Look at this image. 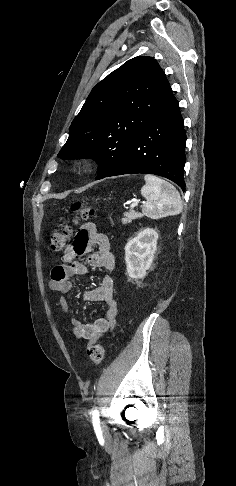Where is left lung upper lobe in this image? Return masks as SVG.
Segmentation results:
<instances>
[{
  "instance_id": "left-lung-upper-lobe-1",
  "label": "left lung upper lobe",
  "mask_w": 236,
  "mask_h": 486,
  "mask_svg": "<svg viewBox=\"0 0 236 486\" xmlns=\"http://www.w3.org/2000/svg\"><path fill=\"white\" fill-rule=\"evenodd\" d=\"M172 97L155 59L139 56L128 60L92 89L72 121L58 157L93 158L99 164L97 179L105 177Z\"/></svg>"
}]
</instances>
